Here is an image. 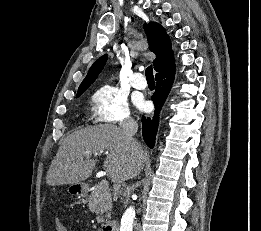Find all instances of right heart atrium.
I'll return each mask as SVG.
<instances>
[{
  "instance_id": "right-heart-atrium-1",
  "label": "right heart atrium",
  "mask_w": 261,
  "mask_h": 231,
  "mask_svg": "<svg viewBox=\"0 0 261 231\" xmlns=\"http://www.w3.org/2000/svg\"><path fill=\"white\" fill-rule=\"evenodd\" d=\"M95 120L110 125H126L132 122L125 95L112 86H102L92 95Z\"/></svg>"
}]
</instances>
